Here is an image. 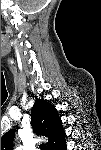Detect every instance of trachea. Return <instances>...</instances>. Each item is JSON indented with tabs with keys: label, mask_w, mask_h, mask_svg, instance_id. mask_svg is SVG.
<instances>
[{
	"label": "trachea",
	"mask_w": 101,
	"mask_h": 150,
	"mask_svg": "<svg viewBox=\"0 0 101 150\" xmlns=\"http://www.w3.org/2000/svg\"><path fill=\"white\" fill-rule=\"evenodd\" d=\"M40 149H41V150H47L46 144H41V145H40Z\"/></svg>",
	"instance_id": "3493384b"
}]
</instances>
